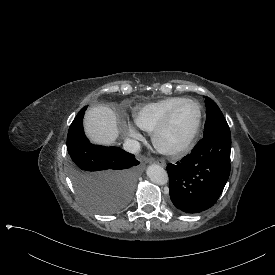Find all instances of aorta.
<instances>
[{
  "label": "aorta",
  "instance_id": "1",
  "mask_svg": "<svg viewBox=\"0 0 275 275\" xmlns=\"http://www.w3.org/2000/svg\"><path fill=\"white\" fill-rule=\"evenodd\" d=\"M146 174L150 178V180L155 184L165 185L168 182L167 172L160 165L152 164L148 166Z\"/></svg>",
  "mask_w": 275,
  "mask_h": 275
}]
</instances>
